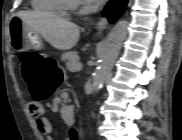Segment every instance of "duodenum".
Returning <instances> with one entry per match:
<instances>
[{"instance_id":"1","label":"duodenum","mask_w":182,"mask_h":140,"mask_svg":"<svg viewBox=\"0 0 182 140\" xmlns=\"http://www.w3.org/2000/svg\"><path fill=\"white\" fill-rule=\"evenodd\" d=\"M61 112L63 113L66 120L72 121L75 118V108L74 107H63L61 108Z\"/></svg>"}]
</instances>
